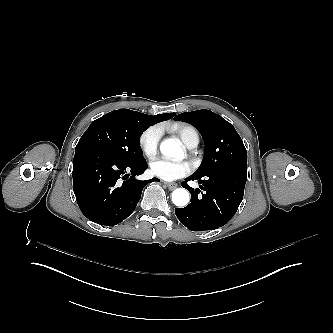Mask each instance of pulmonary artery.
I'll return each instance as SVG.
<instances>
[{"label":"pulmonary artery","mask_w":333,"mask_h":333,"mask_svg":"<svg viewBox=\"0 0 333 333\" xmlns=\"http://www.w3.org/2000/svg\"><path fill=\"white\" fill-rule=\"evenodd\" d=\"M197 144H198L197 140H193V141L190 143L189 148L193 149V148H195V147L197 146Z\"/></svg>","instance_id":"obj_1"}]
</instances>
